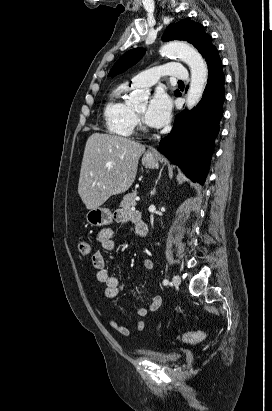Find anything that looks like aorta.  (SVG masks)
<instances>
[{"mask_svg": "<svg viewBox=\"0 0 272 411\" xmlns=\"http://www.w3.org/2000/svg\"><path fill=\"white\" fill-rule=\"evenodd\" d=\"M160 52L166 56H176L189 66L191 82L186 105L188 109L193 108L202 97L207 82L208 70L204 59L193 47L177 41L166 43ZM131 98L134 101H142L145 99V94L134 92Z\"/></svg>", "mask_w": 272, "mask_h": 411, "instance_id": "1", "label": "aorta"}]
</instances>
